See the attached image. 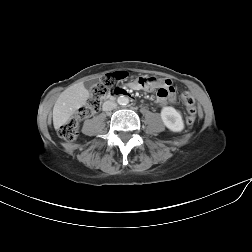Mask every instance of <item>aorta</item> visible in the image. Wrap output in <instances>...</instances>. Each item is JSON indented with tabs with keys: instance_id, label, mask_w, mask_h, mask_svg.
<instances>
[{
	"instance_id": "obj_1",
	"label": "aorta",
	"mask_w": 252,
	"mask_h": 252,
	"mask_svg": "<svg viewBox=\"0 0 252 252\" xmlns=\"http://www.w3.org/2000/svg\"><path fill=\"white\" fill-rule=\"evenodd\" d=\"M118 103H119L120 105H126V104L128 103V98L125 97V96H120V97L118 98Z\"/></svg>"
}]
</instances>
